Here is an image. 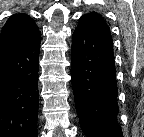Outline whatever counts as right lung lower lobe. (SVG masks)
<instances>
[{
    "label": "right lung lower lobe",
    "mask_w": 144,
    "mask_h": 137,
    "mask_svg": "<svg viewBox=\"0 0 144 137\" xmlns=\"http://www.w3.org/2000/svg\"><path fill=\"white\" fill-rule=\"evenodd\" d=\"M40 38L0 54V137H37Z\"/></svg>",
    "instance_id": "1"
}]
</instances>
